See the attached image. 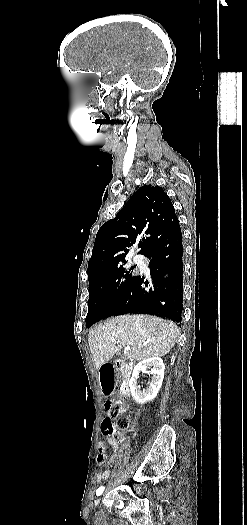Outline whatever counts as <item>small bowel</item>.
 Wrapping results in <instances>:
<instances>
[{
  "instance_id": "obj_1",
  "label": "small bowel",
  "mask_w": 247,
  "mask_h": 525,
  "mask_svg": "<svg viewBox=\"0 0 247 525\" xmlns=\"http://www.w3.org/2000/svg\"><path fill=\"white\" fill-rule=\"evenodd\" d=\"M104 438L107 442H109V444L112 446L114 450V454L109 458V465L112 466L116 463L118 459L117 454H116L118 450V445H117V442L110 435L104 434ZM105 461H106V445L104 441H101L99 442V445H98V454L96 456V462L98 463V465L101 466L105 463ZM109 477H110V468H107L97 473L96 481L100 483V482L108 480Z\"/></svg>"
}]
</instances>
